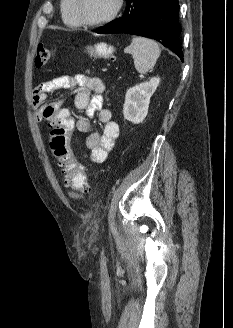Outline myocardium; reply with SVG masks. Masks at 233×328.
<instances>
[{"mask_svg":"<svg viewBox=\"0 0 233 328\" xmlns=\"http://www.w3.org/2000/svg\"><path fill=\"white\" fill-rule=\"evenodd\" d=\"M80 4H81V0H74V13H75V16H76V19H77L78 23L81 26L98 27V26H102L104 24H107V23L113 21L114 19H116L118 17V15L120 14V12L123 9L124 0H116L115 1V7H114L113 11L107 17H105L101 20H98V21H87V20H85L81 15Z\"/></svg>","mask_w":233,"mask_h":328,"instance_id":"1","label":"myocardium"}]
</instances>
